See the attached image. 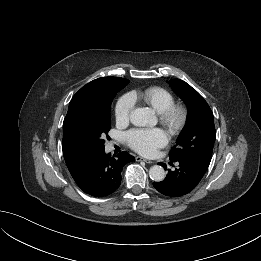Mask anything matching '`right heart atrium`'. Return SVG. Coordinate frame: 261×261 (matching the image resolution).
<instances>
[{"label":"right heart atrium","mask_w":261,"mask_h":261,"mask_svg":"<svg viewBox=\"0 0 261 261\" xmlns=\"http://www.w3.org/2000/svg\"><path fill=\"white\" fill-rule=\"evenodd\" d=\"M134 101L129 95L122 96L115 105V119L120 125L127 124L131 118Z\"/></svg>","instance_id":"d8ad5b80"}]
</instances>
